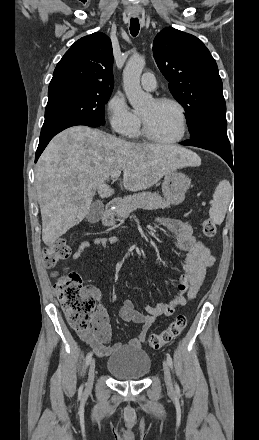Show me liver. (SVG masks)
<instances>
[{"label":"liver","mask_w":259,"mask_h":440,"mask_svg":"<svg viewBox=\"0 0 259 440\" xmlns=\"http://www.w3.org/2000/svg\"><path fill=\"white\" fill-rule=\"evenodd\" d=\"M192 151L176 145L132 143L87 126L56 135L35 168V186L42 217V240L47 246L79 224L89 213L96 192L110 197L106 180L123 171V186L148 189L165 174L200 165Z\"/></svg>","instance_id":"liver-1"}]
</instances>
